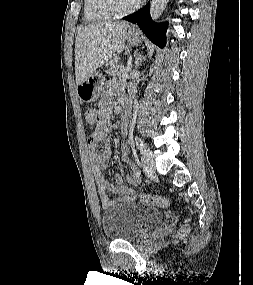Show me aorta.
Listing matches in <instances>:
<instances>
[{
  "label": "aorta",
  "mask_w": 253,
  "mask_h": 285,
  "mask_svg": "<svg viewBox=\"0 0 253 285\" xmlns=\"http://www.w3.org/2000/svg\"><path fill=\"white\" fill-rule=\"evenodd\" d=\"M169 0H152L150 5V17L156 21L162 15Z\"/></svg>",
  "instance_id": "obj_1"
}]
</instances>
